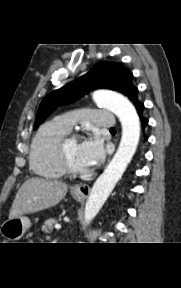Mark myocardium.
Wrapping results in <instances>:
<instances>
[{
  "mask_svg": "<svg viewBox=\"0 0 181 288\" xmlns=\"http://www.w3.org/2000/svg\"><path fill=\"white\" fill-rule=\"evenodd\" d=\"M78 138V135L75 133H67L58 143L57 147V156L60 166L65 174L71 176H81L86 173V170L75 169L69 162L66 153L65 146L70 140H75Z\"/></svg>",
  "mask_w": 181,
  "mask_h": 288,
  "instance_id": "f54148a6",
  "label": "myocardium"
}]
</instances>
